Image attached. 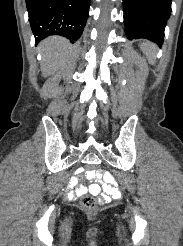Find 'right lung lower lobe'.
I'll return each instance as SVG.
<instances>
[{
  "label": "right lung lower lobe",
  "mask_w": 183,
  "mask_h": 246,
  "mask_svg": "<svg viewBox=\"0 0 183 246\" xmlns=\"http://www.w3.org/2000/svg\"><path fill=\"white\" fill-rule=\"evenodd\" d=\"M36 44L50 35L74 43L86 24L90 0H26Z\"/></svg>",
  "instance_id": "1"
}]
</instances>
